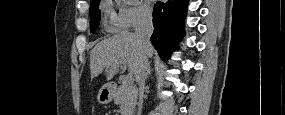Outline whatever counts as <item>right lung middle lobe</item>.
Segmentation results:
<instances>
[{
  "label": "right lung middle lobe",
  "mask_w": 285,
  "mask_h": 115,
  "mask_svg": "<svg viewBox=\"0 0 285 115\" xmlns=\"http://www.w3.org/2000/svg\"><path fill=\"white\" fill-rule=\"evenodd\" d=\"M100 0H94L90 4V31L93 33L99 25L100 12L98 10Z\"/></svg>",
  "instance_id": "dd1d6c3e"
}]
</instances>
